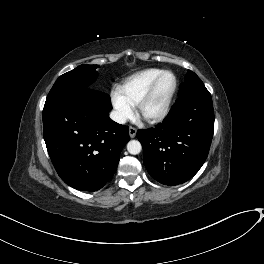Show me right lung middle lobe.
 Listing matches in <instances>:
<instances>
[{
	"label": "right lung middle lobe",
	"instance_id": "right-lung-middle-lobe-1",
	"mask_svg": "<svg viewBox=\"0 0 264 264\" xmlns=\"http://www.w3.org/2000/svg\"><path fill=\"white\" fill-rule=\"evenodd\" d=\"M98 65H80L61 75L50 90L44 107L59 103L71 95L89 88V84L97 78Z\"/></svg>",
	"mask_w": 264,
	"mask_h": 264
}]
</instances>
